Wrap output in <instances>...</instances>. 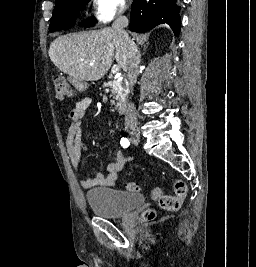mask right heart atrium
<instances>
[{
    "instance_id": "obj_1",
    "label": "right heart atrium",
    "mask_w": 256,
    "mask_h": 267,
    "mask_svg": "<svg viewBox=\"0 0 256 267\" xmlns=\"http://www.w3.org/2000/svg\"><path fill=\"white\" fill-rule=\"evenodd\" d=\"M115 13L114 15H110V16H106L103 13H96V22H111L115 17H116Z\"/></svg>"
}]
</instances>
